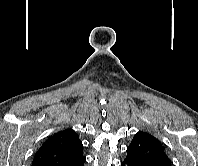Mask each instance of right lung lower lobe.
I'll list each match as a JSON object with an SVG mask.
<instances>
[{
	"mask_svg": "<svg viewBox=\"0 0 198 166\" xmlns=\"http://www.w3.org/2000/svg\"><path fill=\"white\" fill-rule=\"evenodd\" d=\"M85 161H86V158L84 160L76 162L70 166H84Z\"/></svg>",
	"mask_w": 198,
	"mask_h": 166,
	"instance_id": "1",
	"label": "right lung lower lobe"
}]
</instances>
